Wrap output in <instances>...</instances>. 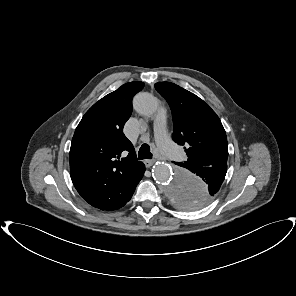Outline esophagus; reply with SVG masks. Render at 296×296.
<instances>
[{"mask_svg": "<svg viewBox=\"0 0 296 296\" xmlns=\"http://www.w3.org/2000/svg\"><path fill=\"white\" fill-rule=\"evenodd\" d=\"M153 163H154V160H152V159H147V160L144 161V164L148 168L151 167L153 165Z\"/></svg>", "mask_w": 296, "mask_h": 296, "instance_id": "obj_1", "label": "esophagus"}]
</instances>
